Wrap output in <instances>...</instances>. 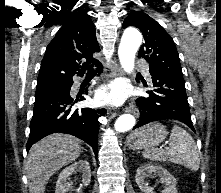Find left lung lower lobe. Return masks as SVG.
<instances>
[{
    "instance_id": "obj_1",
    "label": "left lung lower lobe",
    "mask_w": 221,
    "mask_h": 193,
    "mask_svg": "<svg viewBox=\"0 0 221 193\" xmlns=\"http://www.w3.org/2000/svg\"><path fill=\"white\" fill-rule=\"evenodd\" d=\"M153 91L148 97H139L136 104L140 118L133 129L153 121L174 119L183 122L194 132L183 75L149 69Z\"/></svg>"
}]
</instances>
